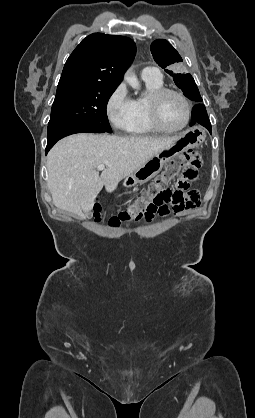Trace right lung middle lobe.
Wrapping results in <instances>:
<instances>
[{"label":"right lung middle lobe","mask_w":255,"mask_h":418,"mask_svg":"<svg viewBox=\"0 0 255 418\" xmlns=\"http://www.w3.org/2000/svg\"><path fill=\"white\" fill-rule=\"evenodd\" d=\"M116 87L67 83L57 87L48 126L57 123L93 125L112 133L106 106Z\"/></svg>","instance_id":"dd1d6c3e"}]
</instances>
